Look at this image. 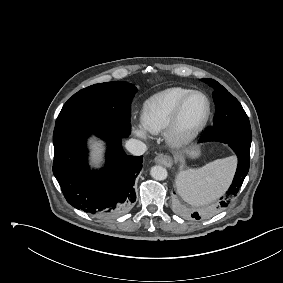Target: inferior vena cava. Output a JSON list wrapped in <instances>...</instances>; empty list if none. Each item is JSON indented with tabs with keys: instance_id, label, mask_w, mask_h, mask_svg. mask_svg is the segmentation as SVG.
<instances>
[{
	"instance_id": "602c4592",
	"label": "inferior vena cava",
	"mask_w": 283,
	"mask_h": 283,
	"mask_svg": "<svg viewBox=\"0 0 283 283\" xmlns=\"http://www.w3.org/2000/svg\"><path fill=\"white\" fill-rule=\"evenodd\" d=\"M125 147L133 155H142L147 150L145 143L136 139L128 140Z\"/></svg>"
}]
</instances>
